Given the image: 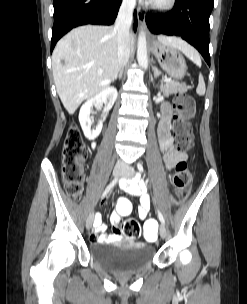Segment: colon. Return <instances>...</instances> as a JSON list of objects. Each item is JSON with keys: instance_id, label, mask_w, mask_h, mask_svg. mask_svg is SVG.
I'll return each mask as SVG.
<instances>
[{"instance_id": "1", "label": "colon", "mask_w": 247, "mask_h": 304, "mask_svg": "<svg viewBox=\"0 0 247 304\" xmlns=\"http://www.w3.org/2000/svg\"><path fill=\"white\" fill-rule=\"evenodd\" d=\"M196 105L194 99L186 94H178L174 101V132L177 139V148L184 153L192 148V132L190 120L195 114ZM88 150L78 127L73 124L66 135L62 150L61 173L66 191L75 199H79L84 183V162ZM191 181V174L184 161L176 165L173 176V184L176 191L183 194ZM118 213L127 215L131 212V203L126 199H120L116 205ZM155 223L149 221L143 231V238H156ZM122 231L128 238H138L141 235L140 224L133 219L124 222ZM151 243V242H150Z\"/></svg>"}]
</instances>
